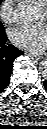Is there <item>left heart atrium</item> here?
Segmentation results:
<instances>
[{
    "label": "left heart atrium",
    "mask_w": 47,
    "mask_h": 129,
    "mask_svg": "<svg viewBox=\"0 0 47 129\" xmlns=\"http://www.w3.org/2000/svg\"><path fill=\"white\" fill-rule=\"evenodd\" d=\"M13 42L31 52L41 51L46 43V28L40 23L18 26L12 34Z\"/></svg>",
    "instance_id": "obj_1"
}]
</instances>
